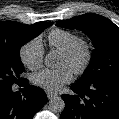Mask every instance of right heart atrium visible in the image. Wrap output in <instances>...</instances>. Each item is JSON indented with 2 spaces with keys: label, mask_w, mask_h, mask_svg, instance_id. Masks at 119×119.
Returning a JSON list of instances; mask_svg holds the SVG:
<instances>
[{
  "label": "right heart atrium",
  "mask_w": 119,
  "mask_h": 119,
  "mask_svg": "<svg viewBox=\"0 0 119 119\" xmlns=\"http://www.w3.org/2000/svg\"><path fill=\"white\" fill-rule=\"evenodd\" d=\"M19 58L22 64L30 70L41 67L44 59V47L39 37H35L24 43L19 50Z\"/></svg>",
  "instance_id": "obj_1"
}]
</instances>
